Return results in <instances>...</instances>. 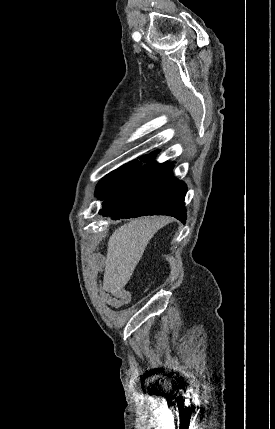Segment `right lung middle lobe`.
<instances>
[{"instance_id": "1", "label": "right lung middle lobe", "mask_w": 275, "mask_h": 429, "mask_svg": "<svg viewBox=\"0 0 275 429\" xmlns=\"http://www.w3.org/2000/svg\"><path fill=\"white\" fill-rule=\"evenodd\" d=\"M142 162H150V158H140ZM141 161L134 160L107 174L97 185L96 195L104 200L135 178L142 168Z\"/></svg>"}]
</instances>
